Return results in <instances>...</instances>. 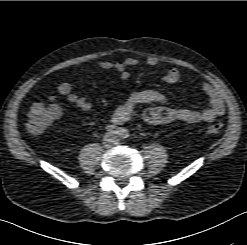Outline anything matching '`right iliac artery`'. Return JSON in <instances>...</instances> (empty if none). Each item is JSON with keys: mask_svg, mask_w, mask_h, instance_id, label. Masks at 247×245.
Returning <instances> with one entry per match:
<instances>
[{"mask_svg": "<svg viewBox=\"0 0 247 245\" xmlns=\"http://www.w3.org/2000/svg\"><path fill=\"white\" fill-rule=\"evenodd\" d=\"M106 130L111 133V134H116V135H119L120 134V128H117L116 126L114 125H108L106 127Z\"/></svg>", "mask_w": 247, "mask_h": 245, "instance_id": "82829eb1", "label": "right iliac artery"}]
</instances>
